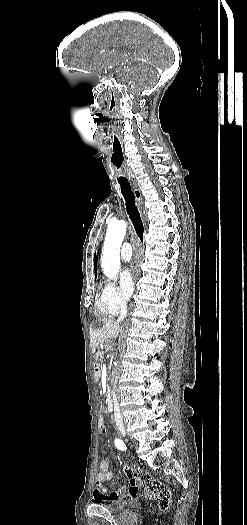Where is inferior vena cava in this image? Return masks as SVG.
<instances>
[{
	"label": "inferior vena cava",
	"instance_id": "602c4592",
	"mask_svg": "<svg viewBox=\"0 0 247 525\" xmlns=\"http://www.w3.org/2000/svg\"><path fill=\"white\" fill-rule=\"evenodd\" d=\"M127 315V307L125 305V303H120V315L117 319V323H122V321H124L125 317ZM114 397H116V395H114Z\"/></svg>",
	"mask_w": 247,
	"mask_h": 525
}]
</instances>
